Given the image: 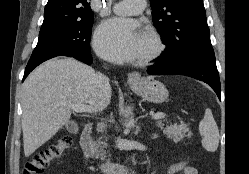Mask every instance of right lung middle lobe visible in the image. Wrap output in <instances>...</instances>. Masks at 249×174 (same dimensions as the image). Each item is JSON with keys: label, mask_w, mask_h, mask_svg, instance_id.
Masks as SVG:
<instances>
[{"label": "right lung middle lobe", "mask_w": 249, "mask_h": 174, "mask_svg": "<svg viewBox=\"0 0 249 174\" xmlns=\"http://www.w3.org/2000/svg\"><path fill=\"white\" fill-rule=\"evenodd\" d=\"M94 18L41 27L37 46L29 61L52 53H91L90 36Z\"/></svg>", "instance_id": "right-lung-middle-lobe-1"}]
</instances>
